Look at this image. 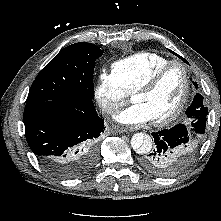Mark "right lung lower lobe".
Wrapping results in <instances>:
<instances>
[{"mask_svg": "<svg viewBox=\"0 0 221 221\" xmlns=\"http://www.w3.org/2000/svg\"><path fill=\"white\" fill-rule=\"evenodd\" d=\"M26 139L39 162L61 178H75L96 162V139L104 132L92 99H57L28 103Z\"/></svg>", "mask_w": 221, "mask_h": 221, "instance_id": "98d812e1", "label": "right lung lower lobe"}]
</instances>
